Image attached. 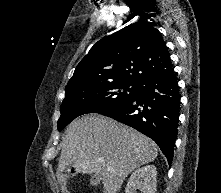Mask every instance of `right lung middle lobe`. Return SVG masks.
<instances>
[{
    "label": "right lung middle lobe",
    "instance_id": "right-lung-middle-lobe-1",
    "mask_svg": "<svg viewBox=\"0 0 221 193\" xmlns=\"http://www.w3.org/2000/svg\"><path fill=\"white\" fill-rule=\"evenodd\" d=\"M140 88V82L124 81L66 89V95L60 108L58 130L61 131L80 115L99 113L118 107L136 96Z\"/></svg>",
    "mask_w": 221,
    "mask_h": 193
}]
</instances>
